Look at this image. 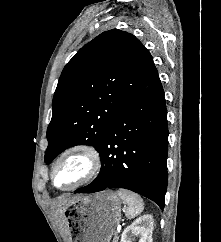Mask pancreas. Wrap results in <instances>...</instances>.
<instances>
[{"instance_id":"pancreas-1","label":"pancreas","mask_w":221,"mask_h":242,"mask_svg":"<svg viewBox=\"0 0 221 242\" xmlns=\"http://www.w3.org/2000/svg\"><path fill=\"white\" fill-rule=\"evenodd\" d=\"M113 242H118V237H115V238L113 239Z\"/></svg>"}]
</instances>
